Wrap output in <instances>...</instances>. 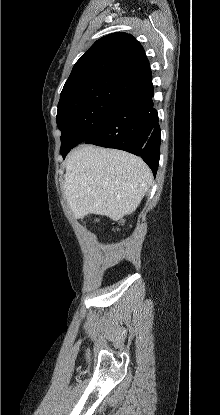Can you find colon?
I'll return each instance as SVG.
<instances>
[{
    "instance_id": "5ec220e1",
    "label": "colon",
    "mask_w": 220,
    "mask_h": 415,
    "mask_svg": "<svg viewBox=\"0 0 220 415\" xmlns=\"http://www.w3.org/2000/svg\"><path fill=\"white\" fill-rule=\"evenodd\" d=\"M97 220H98L97 218L93 219L94 222H96Z\"/></svg>"
}]
</instances>
